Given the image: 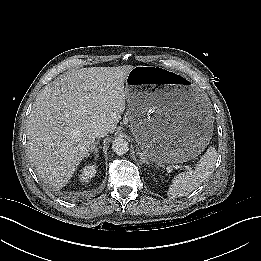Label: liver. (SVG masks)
<instances>
[{
  "label": "liver",
  "mask_w": 261,
  "mask_h": 261,
  "mask_svg": "<svg viewBox=\"0 0 261 261\" xmlns=\"http://www.w3.org/2000/svg\"><path fill=\"white\" fill-rule=\"evenodd\" d=\"M132 65L72 70L36 97L27 126L28 154L37 174L65 186L95 145L93 127L116 129L125 110L124 82Z\"/></svg>",
  "instance_id": "6515ba94"
}]
</instances>
